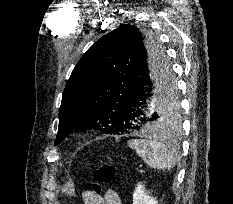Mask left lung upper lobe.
Returning <instances> with one entry per match:
<instances>
[{
    "label": "left lung upper lobe",
    "instance_id": "left-lung-upper-lobe-1",
    "mask_svg": "<svg viewBox=\"0 0 233 204\" xmlns=\"http://www.w3.org/2000/svg\"><path fill=\"white\" fill-rule=\"evenodd\" d=\"M142 52L148 55L160 53L168 62L164 50L150 31L128 24L104 35L87 50L64 89L56 143L70 133L82 130L125 134L116 125L115 119L120 100ZM171 74L173 76L172 71ZM155 112L159 130H179L181 108L175 82H171L167 91L159 96Z\"/></svg>",
    "mask_w": 233,
    "mask_h": 204
}]
</instances>
